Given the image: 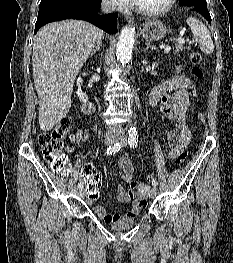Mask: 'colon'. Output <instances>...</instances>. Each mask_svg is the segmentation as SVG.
Listing matches in <instances>:
<instances>
[{
	"label": "colon",
	"instance_id": "obj_1",
	"mask_svg": "<svg viewBox=\"0 0 233 263\" xmlns=\"http://www.w3.org/2000/svg\"><path fill=\"white\" fill-rule=\"evenodd\" d=\"M189 59L193 65L192 75L195 79L199 80L203 77V71L201 69L202 57L197 51H192L189 55ZM72 121L69 117L61 119L57 124L47 132H43L39 135L38 141L42 151L44 161L48 166L58 173H66L69 169L68 158L63 153V140L71 129ZM187 157L186 152L179 153L174 158L175 165H181L185 162ZM78 180L82 182L85 180L87 190H83V195H88L89 199H98V189L100 186L101 175H98L97 171H81V175H78ZM150 178L146 184L149 185Z\"/></svg>",
	"mask_w": 233,
	"mask_h": 263
}]
</instances>
